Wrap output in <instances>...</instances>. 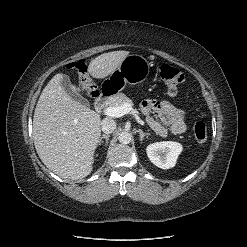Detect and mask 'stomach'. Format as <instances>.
Returning a JSON list of instances; mask_svg holds the SVG:
<instances>
[{"instance_id":"stomach-1","label":"stomach","mask_w":247,"mask_h":247,"mask_svg":"<svg viewBox=\"0 0 247 247\" xmlns=\"http://www.w3.org/2000/svg\"><path fill=\"white\" fill-rule=\"evenodd\" d=\"M150 67V62L143 56L130 54L122 60L118 68L103 82V90L113 94L121 91L127 83H142L147 79Z\"/></svg>"}]
</instances>
